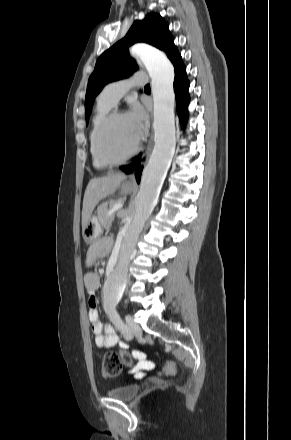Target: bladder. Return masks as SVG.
<instances>
[{
	"instance_id": "obj_1",
	"label": "bladder",
	"mask_w": 291,
	"mask_h": 440,
	"mask_svg": "<svg viewBox=\"0 0 291 440\" xmlns=\"http://www.w3.org/2000/svg\"><path fill=\"white\" fill-rule=\"evenodd\" d=\"M138 391L139 388L136 385H124L121 387L109 389L108 395L113 399L127 402L132 400L136 396Z\"/></svg>"
}]
</instances>
